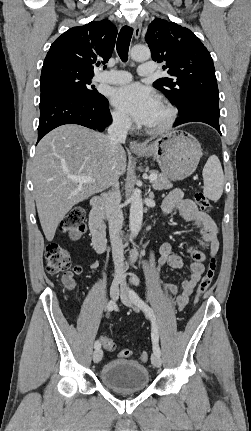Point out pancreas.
Instances as JSON below:
<instances>
[{
    "label": "pancreas",
    "instance_id": "obj_1",
    "mask_svg": "<svg viewBox=\"0 0 251 431\" xmlns=\"http://www.w3.org/2000/svg\"><path fill=\"white\" fill-rule=\"evenodd\" d=\"M150 174H156L157 175V179L151 182L152 187L155 190H163V189L172 188V183L170 182L168 177H166L164 174L158 173L157 171H151Z\"/></svg>",
    "mask_w": 251,
    "mask_h": 431
}]
</instances>
